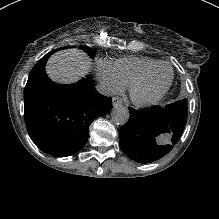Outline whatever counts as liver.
I'll return each instance as SVG.
<instances>
[{"instance_id": "6515ba94", "label": "liver", "mask_w": 219, "mask_h": 219, "mask_svg": "<svg viewBox=\"0 0 219 219\" xmlns=\"http://www.w3.org/2000/svg\"><path fill=\"white\" fill-rule=\"evenodd\" d=\"M90 65V59L85 53L78 50H64L49 58L46 72L53 81L70 84L83 78L88 73Z\"/></svg>"}]
</instances>
